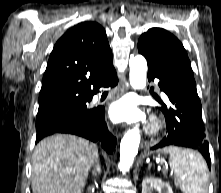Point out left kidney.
Instances as JSON below:
<instances>
[{
	"mask_svg": "<svg viewBox=\"0 0 221 193\" xmlns=\"http://www.w3.org/2000/svg\"><path fill=\"white\" fill-rule=\"evenodd\" d=\"M153 188L158 193H173L172 188L161 179L148 177L142 181V193H152Z\"/></svg>",
	"mask_w": 221,
	"mask_h": 193,
	"instance_id": "left-kidney-1",
	"label": "left kidney"
}]
</instances>
